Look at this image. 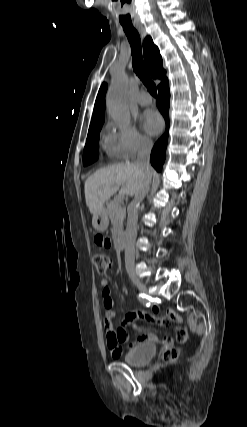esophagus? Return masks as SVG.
<instances>
[{"mask_svg":"<svg viewBox=\"0 0 247 427\" xmlns=\"http://www.w3.org/2000/svg\"><path fill=\"white\" fill-rule=\"evenodd\" d=\"M136 28H137L138 32L141 34L142 38H145L146 32H145L144 27L142 25H137Z\"/></svg>","mask_w":247,"mask_h":427,"instance_id":"34e87169","label":"esophagus"}]
</instances>
